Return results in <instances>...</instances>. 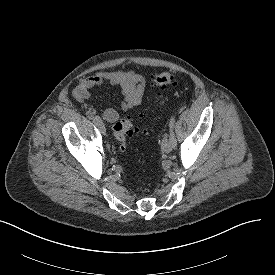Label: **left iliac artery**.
Masks as SVG:
<instances>
[{
	"instance_id": "44dca946",
	"label": "left iliac artery",
	"mask_w": 275,
	"mask_h": 275,
	"mask_svg": "<svg viewBox=\"0 0 275 275\" xmlns=\"http://www.w3.org/2000/svg\"><path fill=\"white\" fill-rule=\"evenodd\" d=\"M174 123H175V117H171L169 120V137L172 141L173 146L175 147L177 144L175 134H174Z\"/></svg>"
}]
</instances>
